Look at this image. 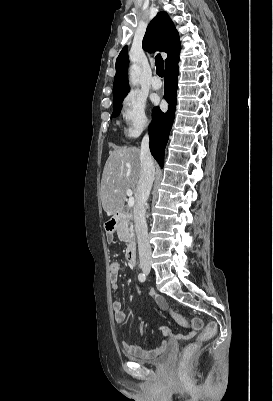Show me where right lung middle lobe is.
I'll use <instances>...</instances> for the list:
<instances>
[{"mask_svg": "<svg viewBox=\"0 0 273 401\" xmlns=\"http://www.w3.org/2000/svg\"><path fill=\"white\" fill-rule=\"evenodd\" d=\"M120 110H121V105H119L117 107H114L113 108V113L111 115V118L118 116L120 114Z\"/></svg>", "mask_w": 273, "mask_h": 401, "instance_id": "dd1d6c3e", "label": "right lung middle lobe"}]
</instances>
